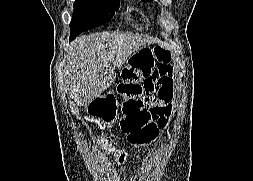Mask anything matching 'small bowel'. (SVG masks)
Returning a JSON list of instances; mask_svg holds the SVG:
<instances>
[{"instance_id":"1","label":"small bowel","mask_w":253,"mask_h":181,"mask_svg":"<svg viewBox=\"0 0 253 181\" xmlns=\"http://www.w3.org/2000/svg\"><path fill=\"white\" fill-rule=\"evenodd\" d=\"M148 68L142 80L143 87L148 95L160 97L165 116H169L173 110V70L171 67L160 64L154 59L147 61ZM141 70V67H138Z\"/></svg>"}]
</instances>
